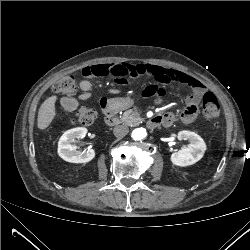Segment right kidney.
<instances>
[{"mask_svg": "<svg viewBox=\"0 0 250 250\" xmlns=\"http://www.w3.org/2000/svg\"><path fill=\"white\" fill-rule=\"evenodd\" d=\"M87 132V128L79 127L68 130L63 134L58 145L59 156L70 163H87L91 161L95 156V152L92 149L83 153H74L76 149L75 143L77 140L85 138Z\"/></svg>", "mask_w": 250, "mask_h": 250, "instance_id": "right-kidney-1", "label": "right kidney"}]
</instances>
